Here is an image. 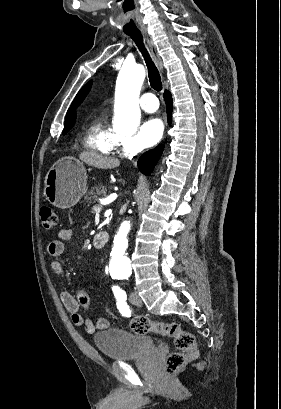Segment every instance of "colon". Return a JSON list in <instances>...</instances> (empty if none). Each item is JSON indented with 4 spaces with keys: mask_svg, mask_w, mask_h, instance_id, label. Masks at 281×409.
<instances>
[{
    "mask_svg": "<svg viewBox=\"0 0 281 409\" xmlns=\"http://www.w3.org/2000/svg\"><path fill=\"white\" fill-rule=\"evenodd\" d=\"M43 227L47 230H53L57 227V214L50 205H42L40 208ZM131 330L140 333H154L163 336L173 337L174 343L179 351L170 354L166 360V371L173 372L182 368L190 358L195 357L194 339L191 333L183 330L177 323H162L150 320L144 315L137 314L130 321Z\"/></svg>",
    "mask_w": 281,
    "mask_h": 409,
    "instance_id": "5ec220e1",
    "label": "colon"
}]
</instances>
